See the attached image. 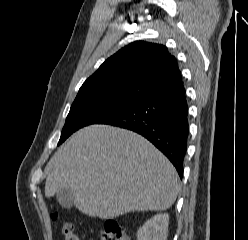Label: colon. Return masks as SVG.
Here are the masks:
<instances>
[{
  "mask_svg": "<svg viewBox=\"0 0 248 240\" xmlns=\"http://www.w3.org/2000/svg\"><path fill=\"white\" fill-rule=\"evenodd\" d=\"M52 219L59 220V215L53 212ZM61 233L63 240H80L75 226L70 222H63L61 225ZM101 240H131L128 233L120 226V224L114 220H109L105 223L104 231L101 236Z\"/></svg>",
  "mask_w": 248,
  "mask_h": 240,
  "instance_id": "5ec220e1",
  "label": "colon"
}]
</instances>
